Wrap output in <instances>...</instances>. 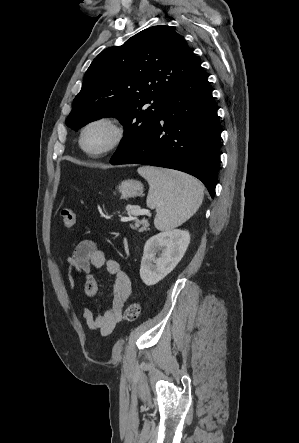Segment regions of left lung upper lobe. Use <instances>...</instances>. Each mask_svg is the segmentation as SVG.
I'll return each mask as SVG.
<instances>
[{"label":"left lung upper lobe","instance_id":"1","mask_svg":"<svg viewBox=\"0 0 299 443\" xmlns=\"http://www.w3.org/2000/svg\"><path fill=\"white\" fill-rule=\"evenodd\" d=\"M198 65L184 38L171 27L147 28L93 60L66 125L77 130L103 117L118 118L124 138L111 158L115 160L154 125L172 91Z\"/></svg>","mask_w":299,"mask_h":443}]
</instances>
